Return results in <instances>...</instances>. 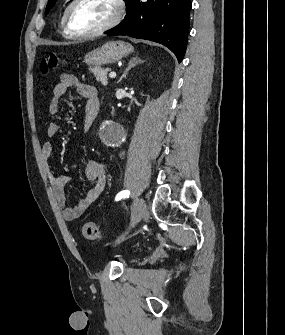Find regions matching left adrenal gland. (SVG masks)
<instances>
[{
  "label": "left adrenal gland",
  "instance_id": "a2214340",
  "mask_svg": "<svg viewBox=\"0 0 285 335\" xmlns=\"http://www.w3.org/2000/svg\"><path fill=\"white\" fill-rule=\"evenodd\" d=\"M144 60H140V58H132V60H130L129 64H128V68H126L125 72H123L121 78H119L117 84H119V82H121V80H123V78H126L128 72H130V70H132V68H135V66H137V64H143Z\"/></svg>",
  "mask_w": 285,
  "mask_h": 335
}]
</instances>
